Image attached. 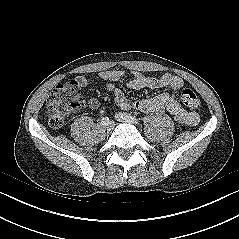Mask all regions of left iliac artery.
<instances>
[{
	"label": "left iliac artery",
	"mask_w": 239,
	"mask_h": 239,
	"mask_svg": "<svg viewBox=\"0 0 239 239\" xmlns=\"http://www.w3.org/2000/svg\"><path fill=\"white\" fill-rule=\"evenodd\" d=\"M126 115H128L130 118H132V119L138 121V119H137L135 116H132L131 114H126Z\"/></svg>",
	"instance_id": "left-iliac-artery-1"
}]
</instances>
